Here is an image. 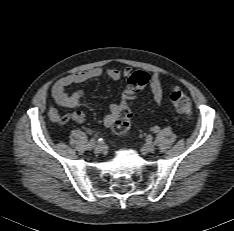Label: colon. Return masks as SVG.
<instances>
[{"instance_id": "obj_1", "label": "colon", "mask_w": 234, "mask_h": 231, "mask_svg": "<svg viewBox=\"0 0 234 231\" xmlns=\"http://www.w3.org/2000/svg\"><path fill=\"white\" fill-rule=\"evenodd\" d=\"M148 81L149 76L143 71H137L128 78L122 95L120 109L113 126L116 132H126L130 128L132 122L131 103L135 99L136 94L147 85ZM170 100L177 112L184 115L190 114L191 100L187 94L180 90H174L170 95Z\"/></svg>"}]
</instances>
